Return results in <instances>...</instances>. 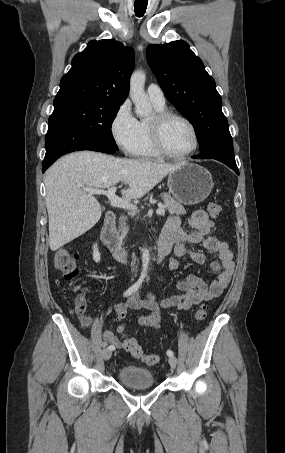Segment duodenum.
Listing matches in <instances>:
<instances>
[{
  "label": "duodenum",
  "mask_w": 285,
  "mask_h": 453,
  "mask_svg": "<svg viewBox=\"0 0 285 453\" xmlns=\"http://www.w3.org/2000/svg\"><path fill=\"white\" fill-rule=\"evenodd\" d=\"M101 239L117 260H127V252L124 249L116 230V215L112 211L107 212L105 215L103 226L101 228ZM171 247V243L167 239L160 236L155 262H161L169 254Z\"/></svg>",
  "instance_id": "duodenum-1"
}]
</instances>
